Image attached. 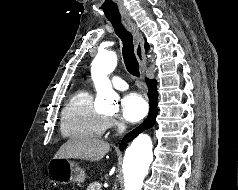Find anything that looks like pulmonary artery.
<instances>
[{"label": "pulmonary artery", "instance_id": "e3ab8cb5", "mask_svg": "<svg viewBox=\"0 0 238 190\" xmlns=\"http://www.w3.org/2000/svg\"><path fill=\"white\" fill-rule=\"evenodd\" d=\"M112 85L114 86V88L121 91L126 90L128 88V84L123 79L117 76L112 78Z\"/></svg>", "mask_w": 238, "mask_h": 190}]
</instances>
